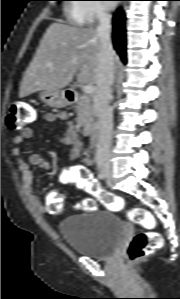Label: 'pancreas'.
I'll return each mask as SVG.
<instances>
[{"instance_id": "1", "label": "pancreas", "mask_w": 180, "mask_h": 299, "mask_svg": "<svg viewBox=\"0 0 180 299\" xmlns=\"http://www.w3.org/2000/svg\"><path fill=\"white\" fill-rule=\"evenodd\" d=\"M78 126L89 127L94 120V110L92 107L91 99L88 96H81L76 105Z\"/></svg>"}]
</instances>
